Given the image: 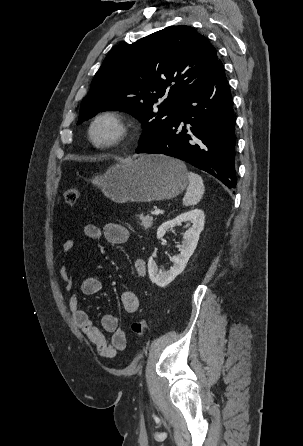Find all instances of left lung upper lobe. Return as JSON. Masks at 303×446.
<instances>
[{"label": "left lung upper lobe", "instance_id": "obj_1", "mask_svg": "<svg viewBox=\"0 0 303 446\" xmlns=\"http://www.w3.org/2000/svg\"><path fill=\"white\" fill-rule=\"evenodd\" d=\"M216 49L185 25L114 47L83 98L78 125L102 110L126 111L143 124L139 148L157 138L174 107L214 67ZM162 101L158 109L153 104Z\"/></svg>", "mask_w": 303, "mask_h": 446}]
</instances>
